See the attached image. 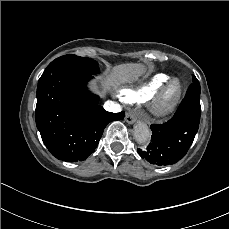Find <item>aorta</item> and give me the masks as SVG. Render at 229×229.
I'll return each instance as SVG.
<instances>
[{"instance_id": "obj_1", "label": "aorta", "mask_w": 229, "mask_h": 229, "mask_svg": "<svg viewBox=\"0 0 229 229\" xmlns=\"http://www.w3.org/2000/svg\"><path fill=\"white\" fill-rule=\"evenodd\" d=\"M134 138L135 140L139 143V144H145L146 142H148L149 138H150V130L149 127L145 124V123H137L134 126Z\"/></svg>"}]
</instances>
